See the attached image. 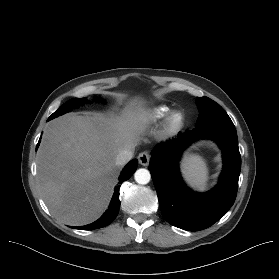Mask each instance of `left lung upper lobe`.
Listing matches in <instances>:
<instances>
[{"label": "left lung upper lobe", "instance_id": "obj_1", "mask_svg": "<svg viewBox=\"0 0 279 279\" xmlns=\"http://www.w3.org/2000/svg\"><path fill=\"white\" fill-rule=\"evenodd\" d=\"M196 102L200 112L196 127L211 123H232L230 117L223 108L210 98L197 97Z\"/></svg>", "mask_w": 279, "mask_h": 279}]
</instances>
